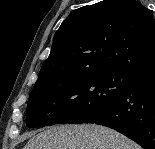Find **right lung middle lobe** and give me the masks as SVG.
<instances>
[{
  "label": "right lung middle lobe",
  "instance_id": "dd1d6c3e",
  "mask_svg": "<svg viewBox=\"0 0 155 149\" xmlns=\"http://www.w3.org/2000/svg\"><path fill=\"white\" fill-rule=\"evenodd\" d=\"M136 75L126 71H90L37 82L27 104V126L89 123L127 92Z\"/></svg>",
  "mask_w": 155,
  "mask_h": 149
}]
</instances>
